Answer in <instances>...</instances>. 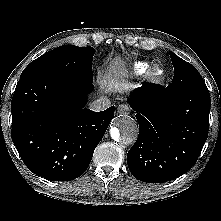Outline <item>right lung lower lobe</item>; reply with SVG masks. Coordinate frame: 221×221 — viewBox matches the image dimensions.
Returning <instances> with one entry per match:
<instances>
[{
  "instance_id": "98d812e1",
  "label": "right lung lower lobe",
  "mask_w": 221,
  "mask_h": 221,
  "mask_svg": "<svg viewBox=\"0 0 221 221\" xmlns=\"http://www.w3.org/2000/svg\"><path fill=\"white\" fill-rule=\"evenodd\" d=\"M92 82L27 75L12 102V141L26 166L52 181H70L88 168L93 152L113 119L114 106L85 108Z\"/></svg>"
}]
</instances>
